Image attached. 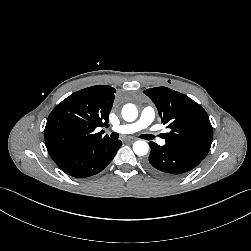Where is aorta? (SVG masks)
Returning a JSON list of instances; mask_svg holds the SVG:
<instances>
[{"label":"aorta","instance_id":"aorta-1","mask_svg":"<svg viewBox=\"0 0 251 251\" xmlns=\"http://www.w3.org/2000/svg\"><path fill=\"white\" fill-rule=\"evenodd\" d=\"M122 117L127 122H132L138 117V109L134 104H126L122 108ZM133 151L138 156H144L149 151V145L144 140L135 141Z\"/></svg>","mask_w":251,"mask_h":251}]
</instances>
